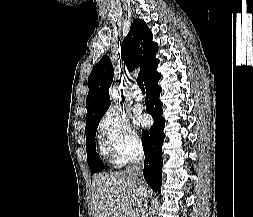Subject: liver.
Returning <instances> with one entry per match:
<instances>
[{
	"label": "liver",
	"mask_w": 253,
	"mask_h": 217,
	"mask_svg": "<svg viewBox=\"0 0 253 217\" xmlns=\"http://www.w3.org/2000/svg\"><path fill=\"white\" fill-rule=\"evenodd\" d=\"M134 188L133 178L126 170L94 175L93 217H138Z\"/></svg>",
	"instance_id": "liver-1"
}]
</instances>
